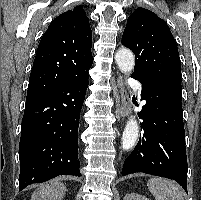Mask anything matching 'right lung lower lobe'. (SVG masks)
I'll return each instance as SVG.
<instances>
[{
	"label": "right lung lower lobe",
	"instance_id": "98d812e1",
	"mask_svg": "<svg viewBox=\"0 0 201 200\" xmlns=\"http://www.w3.org/2000/svg\"><path fill=\"white\" fill-rule=\"evenodd\" d=\"M88 70L56 88L27 95L19 144V191L59 175L81 176L79 116Z\"/></svg>",
	"mask_w": 201,
	"mask_h": 200
}]
</instances>
